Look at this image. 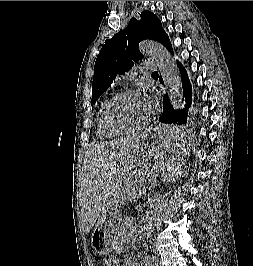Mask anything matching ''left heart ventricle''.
Wrapping results in <instances>:
<instances>
[{
    "label": "left heart ventricle",
    "instance_id": "obj_1",
    "mask_svg": "<svg viewBox=\"0 0 253 266\" xmlns=\"http://www.w3.org/2000/svg\"><path fill=\"white\" fill-rule=\"evenodd\" d=\"M148 114L142 95H128L115 103L109 117L112 124L128 128L142 123Z\"/></svg>",
    "mask_w": 253,
    "mask_h": 266
}]
</instances>
